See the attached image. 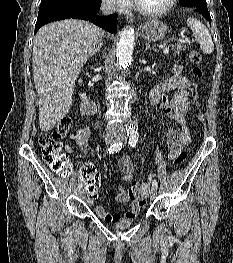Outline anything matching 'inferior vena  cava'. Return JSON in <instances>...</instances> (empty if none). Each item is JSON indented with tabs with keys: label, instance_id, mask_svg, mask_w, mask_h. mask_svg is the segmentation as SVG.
Returning a JSON list of instances; mask_svg holds the SVG:
<instances>
[{
	"label": "inferior vena cava",
	"instance_id": "obj_1",
	"mask_svg": "<svg viewBox=\"0 0 233 263\" xmlns=\"http://www.w3.org/2000/svg\"><path fill=\"white\" fill-rule=\"evenodd\" d=\"M101 11L103 15L112 14L115 11L114 0H102ZM122 126L118 123L109 124L107 126L108 131L120 130Z\"/></svg>",
	"mask_w": 233,
	"mask_h": 263
}]
</instances>
